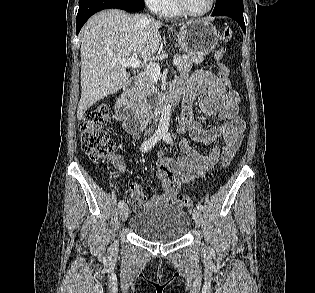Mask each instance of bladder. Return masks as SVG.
Instances as JSON below:
<instances>
[{
    "mask_svg": "<svg viewBox=\"0 0 315 293\" xmlns=\"http://www.w3.org/2000/svg\"><path fill=\"white\" fill-rule=\"evenodd\" d=\"M137 236L152 242L170 243L183 238L191 227L190 216L179 206L157 204L135 214L129 223Z\"/></svg>",
    "mask_w": 315,
    "mask_h": 293,
    "instance_id": "1",
    "label": "bladder"
}]
</instances>
